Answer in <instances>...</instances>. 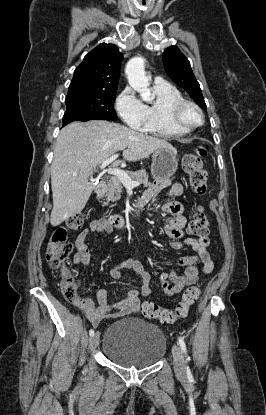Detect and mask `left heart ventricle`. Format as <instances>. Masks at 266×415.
<instances>
[{
  "label": "left heart ventricle",
  "instance_id": "1",
  "mask_svg": "<svg viewBox=\"0 0 266 415\" xmlns=\"http://www.w3.org/2000/svg\"><path fill=\"white\" fill-rule=\"evenodd\" d=\"M184 117L188 122L192 124H197L200 122L199 114L191 107H188L185 110Z\"/></svg>",
  "mask_w": 266,
  "mask_h": 415
}]
</instances>
